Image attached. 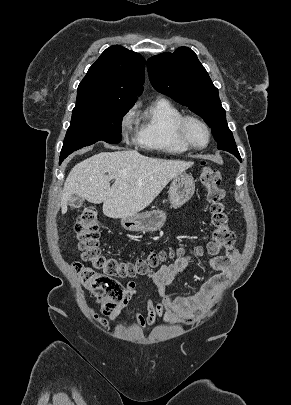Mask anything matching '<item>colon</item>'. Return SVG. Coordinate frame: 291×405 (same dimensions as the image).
<instances>
[{
    "instance_id": "colon-1",
    "label": "colon",
    "mask_w": 291,
    "mask_h": 405,
    "mask_svg": "<svg viewBox=\"0 0 291 405\" xmlns=\"http://www.w3.org/2000/svg\"><path fill=\"white\" fill-rule=\"evenodd\" d=\"M199 180L207 191L206 199L210 206L213 225L207 252L216 256L222 250L233 246L235 235L229 228V217L224 203L225 192L220 187V172L203 164ZM74 230L82 260L90 264L88 266L75 262L74 269L85 289L98 299L106 315H112L117 311L125 294V289L117 278L146 274L166 258L163 251H151L145 256L130 260L104 254L99 242L97 212L92 207L84 209L78 216Z\"/></svg>"
}]
</instances>
